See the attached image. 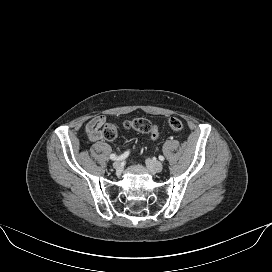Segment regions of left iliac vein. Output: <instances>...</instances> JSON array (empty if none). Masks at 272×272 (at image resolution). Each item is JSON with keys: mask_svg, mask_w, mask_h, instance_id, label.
Listing matches in <instances>:
<instances>
[{"mask_svg": "<svg viewBox=\"0 0 272 272\" xmlns=\"http://www.w3.org/2000/svg\"><path fill=\"white\" fill-rule=\"evenodd\" d=\"M146 165L149 170L159 173L163 169V164L159 161L153 160V159H147L146 160Z\"/></svg>", "mask_w": 272, "mask_h": 272, "instance_id": "1", "label": "left iliac vein"}]
</instances>
